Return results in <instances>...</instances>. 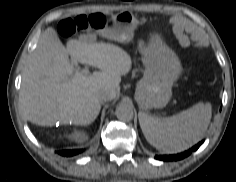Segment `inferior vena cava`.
<instances>
[{
  "label": "inferior vena cava",
  "mask_w": 236,
  "mask_h": 182,
  "mask_svg": "<svg viewBox=\"0 0 236 182\" xmlns=\"http://www.w3.org/2000/svg\"><path fill=\"white\" fill-rule=\"evenodd\" d=\"M112 98V94L110 91L108 90H102L98 93V100L101 102V103H104L108 100H111Z\"/></svg>",
  "instance_id": "inferior-vena-cava-1"
}]
</instances>
